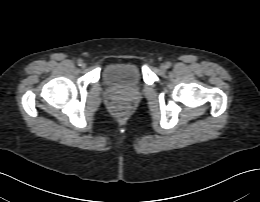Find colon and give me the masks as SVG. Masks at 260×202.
Listing matches in <instances>:
<instances>
[{
    "mask_svg": "<svg viewBox=\"0 0 260 202\" xmlns=\"http://www.w3.org/2000/svg\"><path fill=\"white\" fill-rule=\"evenodd\" d=\"M114 109L116 111V113L120 116V117H124L128 114L129 111V107L126 103L123 102H117L114 105Z\"/></svg>",
    "mask_w": 260,
    "mask_h": 202,
    "instance_id": "obj_1",
    "label": "colon"
}]
</instances>
